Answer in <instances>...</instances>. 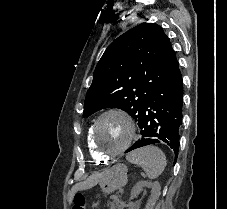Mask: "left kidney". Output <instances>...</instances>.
I'll list each match as a JSON object with an SVG mask.
<instances>
[{
	"label": "left kidney",
	"instance_id": "1",
	"mask_svg": "<svg viewBox=\"0 0 227 209\" xmlns=\"http://www.w3.org/2000/svg\"><path fill=\"white\" fill-rule=\"evenodd\" d=\"M143 187L152 189L151 197L146 205V209H153L156 201H158L161 195V187L159 183H157V181H155V183H149V181H139V183H136V185H134L131 191V197H135V195H137V193H139L140 189H143Z\"/></svg>",
	"mask_w": 227,
	"mask_h": 209
}]
</instances>
